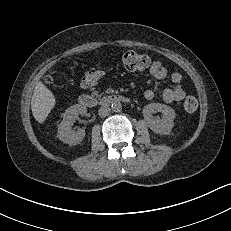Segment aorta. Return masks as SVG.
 <instances>
[{
    "label": "aorta",
    "instance_id": "1",
    "mask_svg": "<svg viewBox=\"0 0 231 231\" xmlns=\"http://www.w3.org/2000/svg\"><path fill=\"white\" fill-rule=\"evenodd\" d=\"M111 107L114 112H119L122 109V105L119 101H114Z\"/></svg>",
    "mask_w": 231,
    "mask_h": 231
}]
</instances>
